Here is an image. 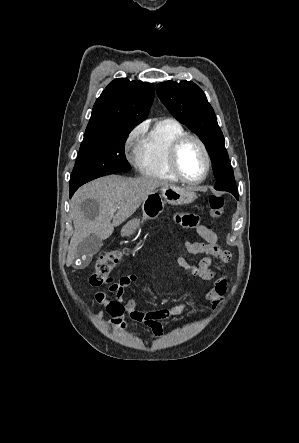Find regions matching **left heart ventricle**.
<instances>
[{"label":"left heart ventricle","instance_id":"b2bd125f","mask_svg":"<svg viewBox=\"0 0 299 443\" xmlns=\"http://www.w3.org/2000/svg\"><path fill=\"white\" fill-rule=\"evenodd\" d=\"M178 159L179 166L186 177L197 179L204 173V156L197 142L187 141L180 149Z\"/></svg>","mask_w":299,"mask_h":443}]
</instances>
